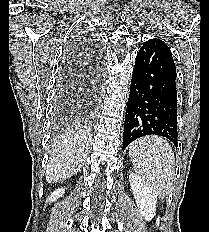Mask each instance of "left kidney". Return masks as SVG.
I'll return each mask as SVG.
<instances>
[{"instance_id":"5707ae66","label":"left kidney","mask_w":209,"mask_h":232,"mask_svg":"<svg viewBox=\"0 0 209 232\" xmlns=\"http://www.w3.org/2000/svg\"><path fill=\"white\" fill-rule=\"evenodd\" d=\"M129 181L141 216L150 221L156 212L157 192L135 173L129 174Z\"/></svg>"}]
</instances>
